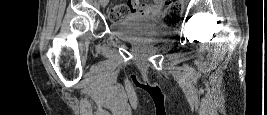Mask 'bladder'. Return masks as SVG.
I'll list each match as a JSON object with an SVG mask.
<instances>
[{
  "label": "bladder",
  "mask_w": 267,
  "mask_h": 115,
  "mask_svg": "<svg viewBox=\"0 0 267 115\" xmlns=\"http://www.w3.org/2000/svg\"><path fill=\"white\" fill-rule=\"evenodd\" d=\"M159 14H127L111 23L112 34L124 41H157L167 37L169 31L157 24Z\"/></svg>",
  "instance_id": "obj_1"
}]
</instances>
